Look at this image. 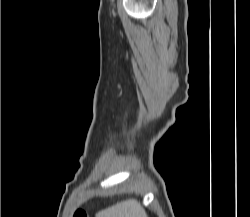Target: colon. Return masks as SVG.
<instances>
[{
	"instance_id": "colon-1",
	"label": "colon",
	"mask_w": 250,
	"mask_h": 217,
	"mask_svg": "<svg viewBox=\"0 0 250 217\" xmlns=\"http://www.w3.org/2000/svg\"><path fill=\"white\" fill-rule=\"evenodd\" d=\"M73 217H88V216L85 211L78 209L74 212Z\"/></svg>"
}]
</instances>
